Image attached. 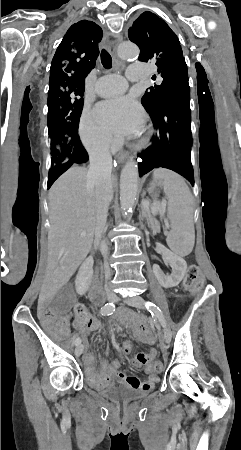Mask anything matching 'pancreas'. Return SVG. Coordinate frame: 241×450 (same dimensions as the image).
I'll return each mask as SVG.
<instances>
[{
  "label": "pancreas",
  "instance_id": "pancreas-1",
  "mask_svg": "<svg viewBox=\"0 0 241 450\" xmlns=\"http://www.w3.org/2000/svg\"><path fill=\"white\" fill-rule=\"evenodd\" d=\"M146 218H148V220H150V222H152V224H154L155 222V218L154 216H152V214H145Z\"/></svg>",
  "mask_w": 241,
  "mask_h": 450
}]
</instances>
